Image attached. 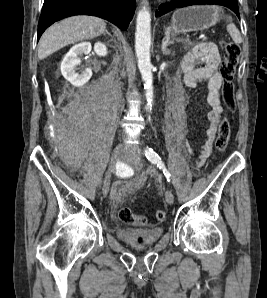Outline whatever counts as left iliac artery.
<instances>
[{
	"instance_id": "obj_1",
	"label": "left iliac artery",
	"mask_w": 267,
	"mask_h": 298,
	"mask_svg": "<svg viewBox=\"0 0 267 298\" xmlns=\"http://www.w3.org/2000/svg\"><path fill=\"white\" fill-rule=\"evenodd\" d=\"M145 156L146 158L153 164H155L160 170H162L168 182L171 180V175L167 170L165 164L161 160L160 156L150 147L145 148Z\"/></svg>"
}]
</instances>
